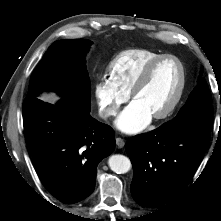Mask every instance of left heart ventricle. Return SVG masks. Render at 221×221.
I'll use <instances>...</instances> for the list:
<instances>
[{
    "label": "left heart ventricle",
    "instance_id": "1",
    "mask_svg": "<svg viewBox=\"0 0 221 221\" xmlns=\"http://www.w3.org/2000/svg\"><path fill=\"white\" fill-rule=\"evenodd\" d=\"M180 82L179 65L167 59L157 65L134 101L145 108L151 116L164 110L174 98Z\"/></svg>",
    "mask_w": 221,
    "mask_h": 221
}]
</instances>
